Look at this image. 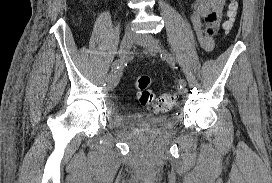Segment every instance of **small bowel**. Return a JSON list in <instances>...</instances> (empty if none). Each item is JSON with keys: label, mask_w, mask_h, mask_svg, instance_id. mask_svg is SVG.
Returning a JSON list of instances; mask_svg holds the SVG:
<instances>
[{"label": "small bowel", "mask_w": 272, "mask_h": 183, "mask_svg": "<svg viewBox=\"0 0 272 183\" xmlns=\"http://www.w3.org/2000/svg\"><path fill=\"white\" fill-rule=\"evenodd\" d=\"M227 0H194L190 7V22L197 40L205 51L214 48L213 36L220 27Z\"/></svg>", "instance_id": "obj_1"}]
</instances>
